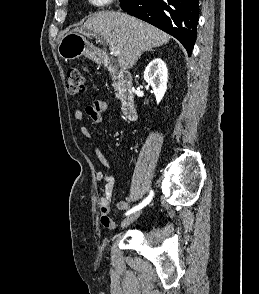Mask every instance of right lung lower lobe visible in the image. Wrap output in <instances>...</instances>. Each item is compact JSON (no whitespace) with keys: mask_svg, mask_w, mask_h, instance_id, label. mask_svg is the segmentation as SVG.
I'll list each match as a JSON object with an SVG mask.
<instances>
[{"mask_svg":"<svg viewBox=\"0 0 259 294\" xmlns=\"http://www.w3.org/2000/svg\"><path fill=\"white\" fill-rule=\"evenodd\" d=\"M199 0H121L120 7L177 38L191 55L199 20Z\"/></svg>","mask_w":259,"mask_h":294,"instance_id":"obj_1","label":"right lung lower lobe"}]
</instances>
